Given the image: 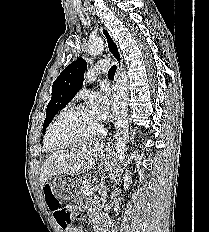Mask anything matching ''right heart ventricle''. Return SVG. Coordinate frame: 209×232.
<instances>
[{
  "instance_id": "right-heart-ventricle-1",
  "label": "right heart ventricle",
  "mask_w": 209,
  "mask_h": 232,
  "mask_svg": "<svg viewBox=\"0 0 209 232\" xmlns=\"http://www.w3.org/2000/svg\"><path fill=\"white\" fill-rule=\"evenodd\" d=\"M44 147H45L46 151H53V150H55L54 148L50 147V146L47 144L46 140H45Z\"/></svg>"
}]
</instances>
